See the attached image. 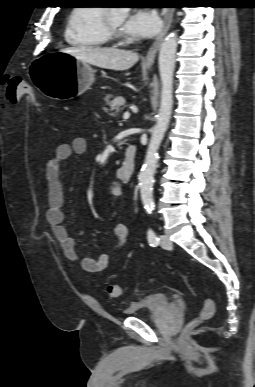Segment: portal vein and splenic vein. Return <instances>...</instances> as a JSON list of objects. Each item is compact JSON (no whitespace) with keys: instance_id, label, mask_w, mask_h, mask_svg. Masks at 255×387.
<instances>
[{"instance_id":"obj_1","label":"portal vein and splenic vein","mask_w":255,"mask_h":387,"mask_svg":"<svg viewBox=\"0 0 255 387\" xmlns=\"http://www.w3.org/2000/svg\"><path fill=\"white\" fill-rule=\"evenodd\" d=\"M124 119H128L130 117V113L126 111L123 115Z\"/></svg>"}]
</instances>
